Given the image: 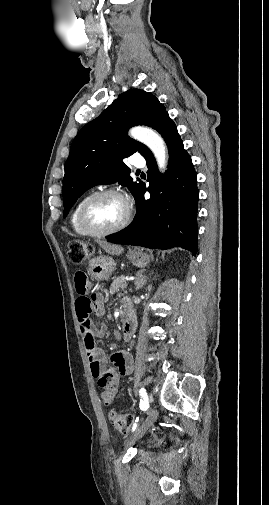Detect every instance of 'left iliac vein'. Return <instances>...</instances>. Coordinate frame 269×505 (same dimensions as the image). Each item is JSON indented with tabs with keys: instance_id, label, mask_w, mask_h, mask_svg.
Returning a JSON list of instances; mask_svg holds the SVG:
<instances>
[{
	"instance_id": "4c4485c4",
	"label": "left iliac vein",
	"mask_w": 269,
	"mask_h": 505,
	"mask_svg": "<svg viewBox=\"0 0 269 505\" xmlns=\"http://www.w3.org/2000/svg\"><path fill=\"white\" fill-rule=\"evenodd\" d=\"M157 416L158 411L156 409H150L147 418L137 427L133 435L126 441V446H130L139 440L153 425Z\"/></svg>"
}]
</instances>
